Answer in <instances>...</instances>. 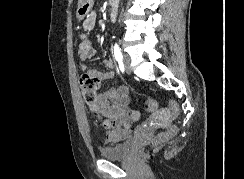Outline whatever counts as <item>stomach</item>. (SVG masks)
<instances>
[{"label": "stomach", "instance_id": "stomach-1", "mask_svg": "<svg viewBox=\"0 0 244 179\" xmlns=\"http://www.w3.org/2000/svg\"><path fill=\"white\" fill-rule=\"evenodd\" d=\"M93 6V0H79L77 18L83 20L87 14H89Z\"/></svg>", "mask_w": 244, "mask_h": 179}]
</instances>
